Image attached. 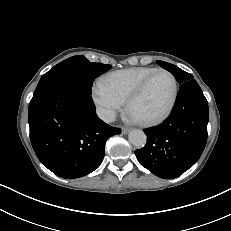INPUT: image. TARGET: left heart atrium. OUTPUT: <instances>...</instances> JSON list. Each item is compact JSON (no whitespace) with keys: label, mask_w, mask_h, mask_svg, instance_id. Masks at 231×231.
Returning <instances> with one entry per match:
<instances>
[{"label":"left heart atrium","mask_w":231,"mask_h":231,"mask_svg":"<svg viewBox=\"0 0 231 231\" xmlns=\"http://www.w3.org/2000/svg\"><path fill=\"white\" fill-rule=\"evenodd\" d=\"M128 119L130 120V121H133V122H136V121H138V119H136L134 116H132L130 113H128Z\"/></svg>","instance_id":"1"}]
</instances>
